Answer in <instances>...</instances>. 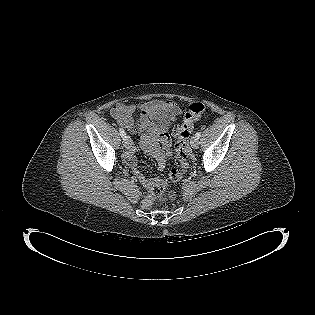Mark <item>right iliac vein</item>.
Here are the masks:
<instances>
[{
  "instance_id": "63e3f726",
  "label": "right iliac vein",
  "mask_w": 315,
  "mask_h": 315,
  "mask_svg": "<svg viewBox=\"0 0 315 315\" xmlns=\"http://www.w3.org/2000/svg\"><path fill=\"white\" fill-rule=\"evenodd\" d=\"M123 144H124L125 148L130 149L132 147V140H131V138L129 136H126L123 139Z\"/></svg>"
}]
</instances>
